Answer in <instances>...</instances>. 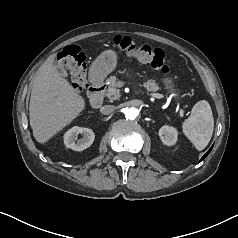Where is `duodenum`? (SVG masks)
Masks as SVG:
<instances>
[{
    "label": "duodenum",
    "instance_id": "1",
    "mask_svg": "<svg viewBox=\"0 0 238 238\" xmlns=\"http://www.w3.org/2000/svg\"><path fill=\"white\" fill-rule=\"evenodd\" d=\"M104 91V81L100 77L93 75L92 83L87 90L88 100L92 107L99 108L102 106Z\"/></svg>",
    "mask_w": 238,
    "mask_h": 238
}]
</instances>
